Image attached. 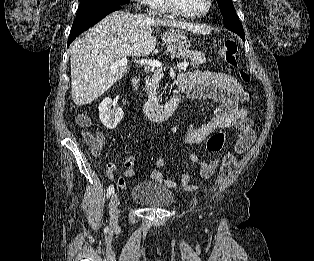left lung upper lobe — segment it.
<instances>
[{
	"mask_svg": "<svg viewBox=\"0 0 314 261\" xmlns=\"http://www.w3.org/2000/svg\"><path fill=\"white\" fill-rule=\"evenodd\" d=\"M217 3L224 19V26L238 35L244 34L232 0H217Z\"/></svg>",
	"mask_w": 314,
	"mask_h": 261,
	"instance_id": "left-lung-upper-lobe-1",
	"label": "left lung upper lobe"
}]
</instances>
